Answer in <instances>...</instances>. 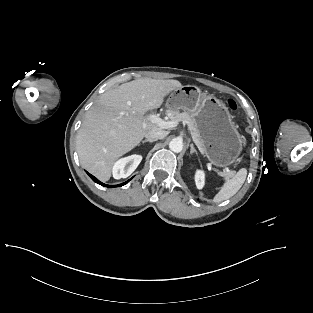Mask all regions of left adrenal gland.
Returning a JSON list of instances; mask_svg holds the SVG:
<instances>
[{"instance_id": "1", "label": "left adrenal gland", "mask_w": 313, "mask_h": 313, "mask_svg": "<svg viewBox=\"0 0 313 313\" xmlns=\"http://www.w3.org/2000/svg\"><path fill=\"white\" fill-rule=\"evenodd\" d=\"M190 148H191L190 154L195 153V154L197 155V151H196V149L194 148L193 144H190Z\"/></svg>"}]
</instances>
